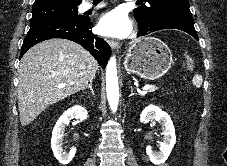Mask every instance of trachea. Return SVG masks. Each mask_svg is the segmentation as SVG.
<instances>
[{
    "mask_svg": "<svg viewBox=\"0 0 227 166\" xmlns=\"http://www.w3.org/2000/svg\"><path fill=\"white\" fill-rule=\"evenodd\" d=\"M101 0H93L94 3L100 2Z\"/></svg>",
    "mask_w": 227,
    "mask_h": 166,
    "instance_id": "obj_1",
    "label": "trachea"
}]
</instances>
